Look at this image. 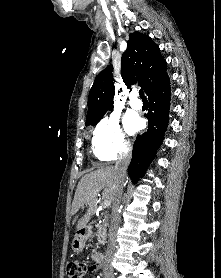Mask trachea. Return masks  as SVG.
<instances>
[{"instance_id":"1","label":"trachea","mask_w":221,"mask_h":278,"mask_svg":"<svg viewBox=\"0 0 221 278\" xmlns=\"http://www.w3.org/2000/svg\"><path fill=\"white\" fill-rule=\"evenodd\" d=\"M139 95H140V98H141L142 100H147V98H146V96L144 95V92H143L142 89L139 90Z\"/></svg>"}]
</instances>
